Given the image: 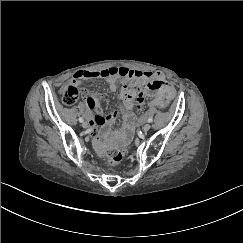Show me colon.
Instances as JSON below:
<instances>
[{"label": "colon", "instance_id": "1", "mask_svg": "<svg viewBox=\"0 0 243 243\" xmlns=\"http://www.w3.org/2000/svg\"><path fill=\"white\" fill-rule=\"evenodd\" d=\"M80 96V90L75 85H69L62 92V101L66 105L74 104ZM137 89L125 86L121 92V109L123 112V126L118 128L110 145L106 150L107 160L111 165H118L124 160V148L133 132V111L136 106Z\"/></svg>", "mask_w": 243, "mask_h": 243}]
</instances>
